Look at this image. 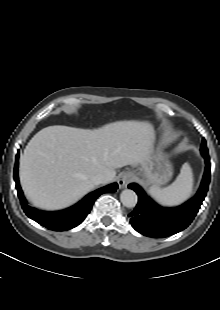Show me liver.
Returning a JSON list of instances; mask_svg holds the SVG:
<instances>
[{
  "label": "liver",
  "instance_id": "1",
  "mask_svg": "<svg viewBox=\"0 0 220 310\" xmlns=\"http://www.w3.org/2000/svg\"><path fill=\"white\" fill-rule=\"evenodd\" d=\"M154 138L153 125L145 121H117L95 130L46 127L24 150L21 186L36 207H68L94 188L92 176L100 173L111 182L116 169L145 162Z\"/></svg>",
  "mask_w": 220,
  "mask_h": 310
}]
</instances>
